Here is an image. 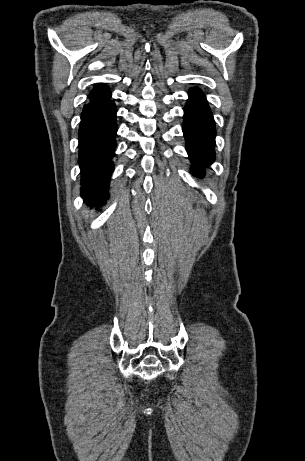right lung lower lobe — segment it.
Listing matches in <instances>:
<instances>
[{
	"label": "right lung lower lobe",
	"instance_id": "1",
	"mask_svg": "<svg viewBox=\"0 0 305 461\" xmlns=\"http://www.w3.org/2000/svg\"><path fill=\"white\" fill-rule=\"evenodd\" d=\"M116 112L109 88L104 84L95 86L83 107L79 128L81 196L91 208L101 206L108 197L114 171Z\"/></svg>",
	"mask_w": 305,
	"mask_h": 461
}]
</instances>
